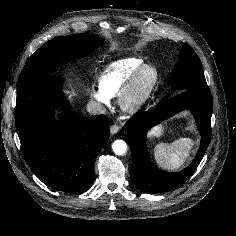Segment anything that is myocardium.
I'll return each mask as SVG.
<instances>
[{"label":"myocardium","mask_w":236,"mask_h":236,"mask_svg":"<svg viewBox=\"0 0 236 236\" xmlns=\"http://www.w3.org/2000/svg\"><path fill=\"white\" fill-rule=\"evenodd\" d=\"M151 71L152 78L143 91L138 90V82L142 74ZM160 82V72L158 68L151 63L141 65L128 79L119 94V105L127 114H136L142 111L151 101Z\"/></svg>","instance_id":"1"}]
</instances>
